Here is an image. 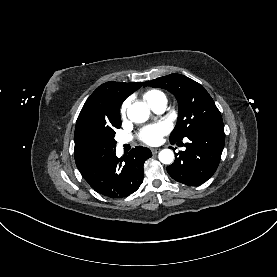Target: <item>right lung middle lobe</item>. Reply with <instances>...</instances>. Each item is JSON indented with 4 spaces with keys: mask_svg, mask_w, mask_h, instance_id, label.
<instances>
[{
    "mask_svg": "<svg viewBox=\"0 0 277 277\" xmlns=\"http://www.w3.org/2000/svg\"><path fill=\"white\" fill-rule=\"evenodd\" d=\"M121 122L113 125L98 126L90 130L89 140L100 154H105L114 150L116 141L114 139L115 129L120 128Z\"/></svg>",
    "mask_w": 277,
    "mask_h": 277,
    "instance_id": "right-lung-middle-lobe-1",
    "label": "right lung middle lobe"
}]
</instances>
